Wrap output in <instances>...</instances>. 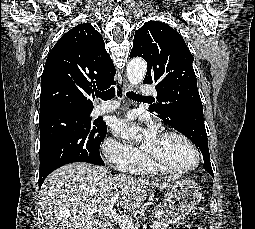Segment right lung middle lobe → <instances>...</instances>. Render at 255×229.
<instances>
[{
	"mask_svg": "<svg viewBox=\"0 0 255 229\" xmlns=\"http://www.w3.org/2000/svg\"><path fill=\"white\" fill-rule=\"evenodd\" d=\"M91 112H57L39 119L40 174L72 162H102L99 148L107 127L103 120H91Z\"/></svg>",
	"mask_w": 255,
	"mask_h": 229,
	"instance_id": "right-lung-middle-lobe-1",
	"label": "right lung middle lobe"
}]
</instances>
